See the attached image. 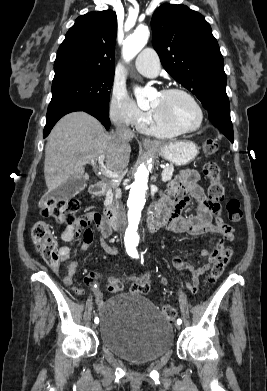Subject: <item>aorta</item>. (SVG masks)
<instances>
[{
	"label": "aorta",
	"mask_w": 267,
	"mask_h": 391,
	"mask_svg": "<svg viewBox=\"0 0 267 391\" xmlns=\"http://www.w3.org/2000/svg\"><path fill=\"white\" fill-rule=\"evenodd\" d=\"M150 36L147 26L139 25L136 30L126 37L123 43L122 54L125 61H131L146 45ZM134 94L138 105L147 102L148 90L135 87ZM149 162H143L134 174V182L130 189L128 198V226L126 229V245L128 251L135 252L139 242L138 227L141 219V212L146 203L149 180Z\"/></svg>",
	"instance_id": "aorta-1"
}]
</instances>
